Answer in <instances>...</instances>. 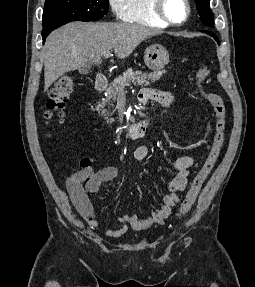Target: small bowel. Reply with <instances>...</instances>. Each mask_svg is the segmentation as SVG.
Returning <instances> with one entry per match:
<instances>
[{"instance_id":"small-bowel-1","label":"small bowel","mask_w":255,"mask_h":287,"mask_svg":"<svg viewBox=\"0 0 255 287\" xmlns=\"http://www.w3.org/2000/svg\"><path fill=\"white\" fill-rule=\"evenodd\" d=\"M152 99L169 107L173 103V96L167 92H152ZM150 153L147 145H139L133 152L136 161H143ZM194 163L192 156H182L174 161L169 172L172 176L166 186V194L162 198V206L152 213L151 216L139 219L135 214H124L118 218L120 226L118 228L107 229L106 236L118 238L124 235L129 228L135 231L147 229L153 225H161L172 214L176 204L179 202L178 193L185 190L188 182L189 170ZM92 168H87L76 172L67 180V190L78 215L91 227L98 225L93 206L88 197V193H96L100 186L117 176L114 167H105L93 174L86 188L83 184L92 173Z\"/></svg>"}]
</instances>
